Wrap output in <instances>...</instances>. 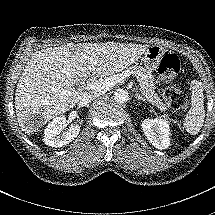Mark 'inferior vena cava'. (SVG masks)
<instances>
[{
  "instance_id": "obj_1",
  "label": "inferior vena cava",
  "mask_w": 215,
  "mask_h": 215,
  "mask_svg": "<svg viewBox=\"0 0 215 215\" xmlns=\"http://www.w3.org/2000/svg\"><path fill=\"white\" fill-rule=\"evenodd\" d=\"M106 90L104 91H96V92H84L81 99H80V103L82 105H88L90 104L94 98L100 96L101 94H103Z\"/></svg>"
}]
</instances>
